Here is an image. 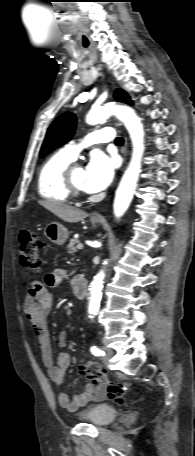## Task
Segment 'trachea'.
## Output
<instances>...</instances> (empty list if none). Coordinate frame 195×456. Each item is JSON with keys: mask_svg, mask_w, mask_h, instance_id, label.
<instances>
[{"mask_svg": "<svg viewBox=\"0 0 195 456\" xmlns=\"http://www.w3.org/2000/svg\"><path fill=\"white\" fill-rule=\"evenodd\" d=\"M123 142H124V140L121 137H117L116 140H115V144H117V145H122Z\"/></svg>", "mask_w": 195, "mask_h": 456, "instance_id": "3493384b", "label": "trachea"}]
</instances>
